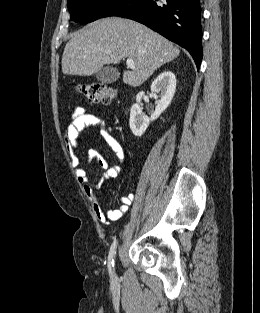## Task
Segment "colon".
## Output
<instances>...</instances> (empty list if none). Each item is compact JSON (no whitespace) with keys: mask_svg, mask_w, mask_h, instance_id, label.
Here are the masks:
<instances>
[{"mask_svg":"<svg viewBox=\"0 0 260 313\" xmlns=\"http://www.w3.org/2000/svg\"><path fill=\"white\" fill-rule=\"evenodd\" d=\"M77 90L93 104H108L116 97V91L113 88L98 82L81 84Z\"/></svg>","mask_w":260,"mask_h":313,"instance_id":"obj_1","label":"colon"}]
</instances>
